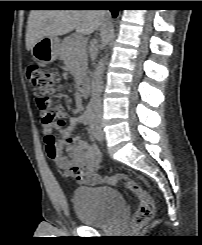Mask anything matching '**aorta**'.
<instances>
[{
  "label": "aorta",
  "mask_w": 202,
  "mask_h": 245,
  "mask_svg": "<svg viewBox=\"0 0 202 245\" xmlns=\"http://www.w3.org/2000/svg\"><path fill=\"white\" fill-rule=\"evenodd\" d=\"M104 67L105 57H102L95 68V72L91 81V92L95 98H97L102 91Z\"/></svg>",
  "instance_id": "aorta-1"
}]
</instances>
